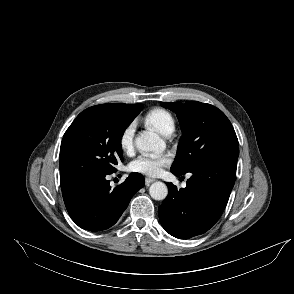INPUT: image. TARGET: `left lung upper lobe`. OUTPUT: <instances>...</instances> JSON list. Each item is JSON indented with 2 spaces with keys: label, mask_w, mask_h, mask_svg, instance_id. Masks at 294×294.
<instances>
[{
  "label": "left lung upper lobe",
  "mask_w": 294,
  "mask_h": 294,
  "mask_svg": "<svg viewBox=\"0 0 294 294\" xmlns=\"http://www.w3.org/2000/svg\"><path fill=\"white\" fill-rule=\"evenodd\" d=\"M176 112L182 130L177 156L171 172L179 175L193 171L210 157L238 147V139L226 115L210 104L198 101L162 103Z\"/></svg>",
  "instance_id": "left-lung-upper-lobe-1"
}]
</instances>
